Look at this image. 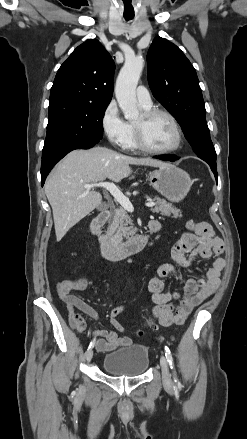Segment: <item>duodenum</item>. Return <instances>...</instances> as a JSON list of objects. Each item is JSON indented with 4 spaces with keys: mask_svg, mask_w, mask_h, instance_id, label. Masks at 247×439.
Masks as SVG:
<instances>
[{
    "mask_svg": "<svg viewBox=\"0 0 247 439\" xmlns=\"http://www.w3.org/2000/svg\"><path fill=\"white\" fill-rule=\"evenodd\" d=\"M109 218V211H104L95 217L90 224V232L99 242L101 252L108 259H121L143 250L154 233L149 224L146 232L137 234L123 243L111 241L104 233L103 226Z\"/></svg>",
    "mask_w": 247,
    "mask_h": 439,
    "instance_id": "1",
    "label": "duodenum"
}]
</instances>
